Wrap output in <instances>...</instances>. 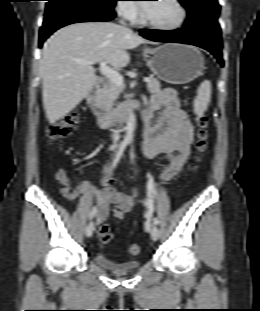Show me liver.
<instances>
[{"mask_svg": "<svg viewBox=\"0 0 260 311\" xmlns=\"http://www.w3.org/2000/svg\"><path fill=\"white\" fill-rule=\"evenodd\" d=\"M143 43L155 44L110 22H79L55 32L43 47L39 65L49 123L54 124L72 111L96 82L92 65L79 64L75 59L122 68L130 62L127 50Z\"/></svg>", "mask_w": 260, "mask_h": 311, "instance_id": "liver-1", "label": "liver"}]
</instances>
